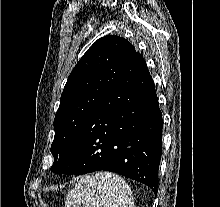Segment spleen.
<instances>
[{"instance_id":"spleen-1","label":"spleen","mask_w":220,"mask_h":207,"mask_svg":"<svg viewBox=\"0 0 220 207\" xmlns=\"http://www.w3.org/2000/svg\"><path fill=\"white\" fill-rule=\"evenodd\" d=\"M131 188L117 174L98 172L80 178L65 207H133Z\"/></svg>"}]
</instances>
